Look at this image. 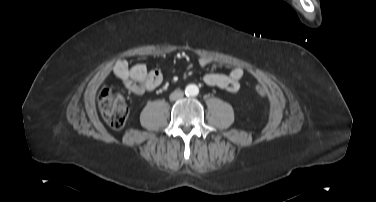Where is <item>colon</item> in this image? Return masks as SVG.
<instances>
[{
	"label": "colon",
	"instance_id": "5ec220e1",
	"mask_svg": "<svg viewBox=\"0 0 376 202\" xmlns=\"http://www.w3.org/2000/svg\"><path fill=\"white\" fill-rule=\"evenodd\" d=\"M256 92L263 96L266 91L263 86H257ZM99 109L105 122L113 129H121L128 118L129 108L121 94H114L109 88L103 89L99 94Z\"/></svg>",
	"mask_w": 376,
	"mask_h": 202
}]
</instances>
